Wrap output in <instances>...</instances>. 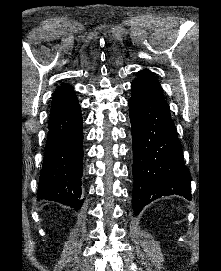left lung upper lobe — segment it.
I'll return each instance as SVG.
<instances>
[{"label": "left lung upper lobe", "mask_w": 221, "mask_h": 271, "mask_svg": "<svg viewBox=\"0 0 221 271\" xmlns=\"http://www.w3.org/2000/svg\"><path fill=\"white\" fill-rule=\"evenodd\" d=\"M134 81L140 82L141 84L145 85L146 87L151 89L155 94H157L163 100H165L162 94L160 84L154 79V77L148 70L140 71L138 77Z\"/></svg>", "instance_id": "obj_1"}]
</instances>
